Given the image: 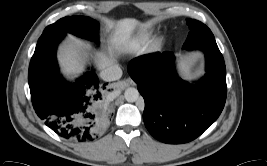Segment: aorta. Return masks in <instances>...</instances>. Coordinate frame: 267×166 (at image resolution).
I'll list each match as a JSON object with an SVG mask.
<instances>
[{
	"instance_id": "762f6f07",
	"label": "aorta",
	"mask_w": 267,
	"mask_h": 166,
	"mask_svg": "<svg viewBox=\"0 0 267 166\" xmlns=\"http://www.w3.org/2000/svg\"><path fill=\"white\" fill-rule=\"evenodd\" d=\"M124 96L128 102H136L139 99V92L136 88L130 87L125 90Z\"/></svg>"
}]
</instances>
